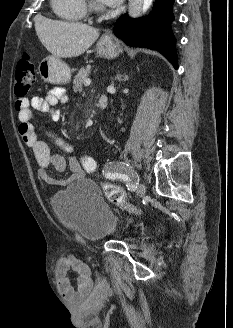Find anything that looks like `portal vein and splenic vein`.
<instances>
[{
    "mask_svg": "<svg viewBox=\"0 0 233 328\" xmlns=\"http://www.w3.org/2000/svg\"><path fill=\"white\" fill-rule=\"evenodd\" d=\"M90 83H91V80H90L89 78H87V79L85 80V83H84V84H85L86 86H88V85H90Z\"/></svg>",
    "mask_w": 233,
    "mask_h": 328,
    "instance_id": "1",
    "label": "portal vein and splenic vein"
}]
</instances>
